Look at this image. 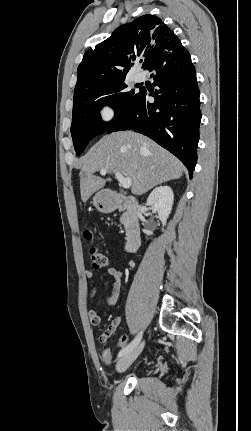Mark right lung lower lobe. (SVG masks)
Returning <instances> with one entry per match:
<instances>
[{"instance_id": "98d812e1", "label": "right lung lower lobe", "mask_w": 251, "mask_h": 431, "mask_svg": "<svg viewBox=\"0 0 251 431\" xmlns=\"http://www.w3.org/2000/svg\"><path fill=\"white\" fill-rule=\"evenodd\" d=\"M147 69L155 72L153 85L159 89L148 93L141 88L106 132L132 129L148 136L181 160L192 178L201 112L191 57L181 44L164 52ZM149 96L155 98L153 103L147 101Z\"/></svg>"}]
</instances>
